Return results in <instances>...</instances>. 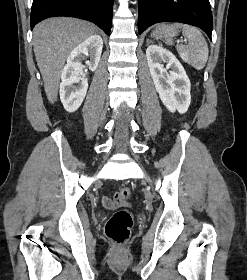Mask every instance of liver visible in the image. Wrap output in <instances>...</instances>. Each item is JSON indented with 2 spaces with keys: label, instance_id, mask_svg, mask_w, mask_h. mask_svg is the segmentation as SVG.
Wrapping results in <instances>:
<instances>
[{
  "label": "liver",
  "instance_id": "6515ba94",
  "mask_svg": "<svg viewBox=\"0 0 247 280\" xmlns=\"http://www.w3.org/2000/svg\"><path fill=\"white\" fill-rule=\"evenodd\" d=\"M94 33L91 23L69 17L46 19L34 27V54L51 104L57 99L61 73L70 52Z\"/></svg>",
  "mask_w": 247,
  "mask_h": 280
}]
</instances>
